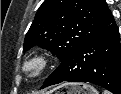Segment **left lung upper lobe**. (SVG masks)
<instances>
[{
    "label": "left lung upper lobe",
    "instance_id": "left-lung-upper-lobe-1",
    "mask_svg": "<svg viewBox=\"0 0 121 94\" xmlns=\"http://www.w3.org/2000/svg\"><path fill=\"white\" fill-rule=\"evenodd\" d=\"M113 21L105 0H45L25 36L23 51L39 45L63 61Z\"/></svg>",
    "mask_w": 121,
    "mask_h": 94
}]
</instances>
